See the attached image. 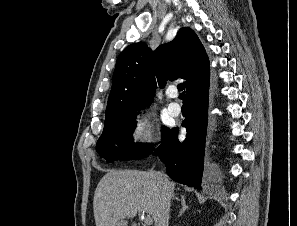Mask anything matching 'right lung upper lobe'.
<instances>
[{
  "instance_id": "1",
  "label": "right lung upper lobe",
  "mask_w": 297,
  "mask_h": 226,
  "mask_svg": "<svg viewBox=\"0 0 297 226\" xmlns=\"http://www.w3.org/2000/svg\"><path fill=\"white\" fill-rule=\"evenodd\" d=\"M155 76L160 88L166 80L187 79L182 84L187 98L209 86V59L192 29L181 28L174 40L155 51L142 42L125 48L117 59L106 112L127 113L149 106L155 93Z\"/></svg>"
}]
</instances>
